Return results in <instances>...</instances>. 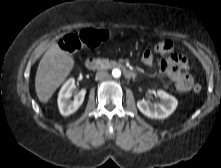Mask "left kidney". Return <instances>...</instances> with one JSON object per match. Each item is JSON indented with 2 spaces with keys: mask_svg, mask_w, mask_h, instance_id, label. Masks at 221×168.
Returning <instances> with one entry per match:
<instances>
[{
  "mask_svg": "<svg viewBox=\"0 0 221 168\" xmlns=\"http://www.w3.org/2000/svg\"><path fill=\"white\" fill-rule=\"evenodd\" d=\"M156 96L161 99L160 103L152 105L143 99L137 102V107L148 118L165 119L175 111L178 101L163 90H157Z\"/></svg>",
  "mask_w": 221,
  "mask_h": 168,
  "instance_id": "obj_1",
  "label": "left kidney"
}]
</instances>
